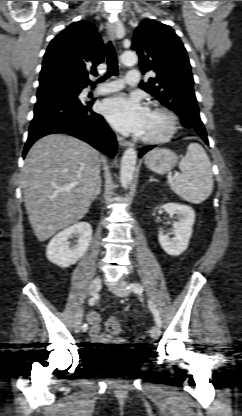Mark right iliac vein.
<instances>
[{"instance_id":"63e3f726","label":"right iliac vein","mask_w":242,"mask_h":416,"mask_svg":"<svg viewBox=\"0 0 242 416\" xmlns=\"http://www.w3.org/2000/svg\"><path fill=\"white\" fill-rule=\"evenodd\" d=\"M100 288H101V278L99 276H96L90 284L89 294L95 295L100 290ZM81 321H82V311H79L74 321V330L76 333L80 332Z\"/></svg>"}]
</instances>
